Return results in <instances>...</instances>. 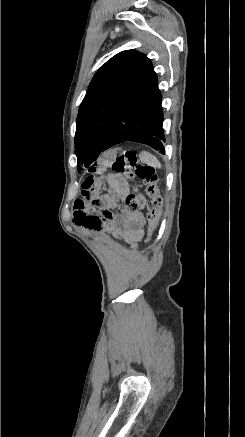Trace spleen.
Returning <instances> with one entry per match:
<instances>
[{
  "mask_svg": "<svg viewBox=\"0 0 245 437\" xmlns=\"http://www.w3.org/2000/svg\"><path fill=\"white\" fill-rule=\"evenodd\" d=\"M140 159L151 167H161V163L159 162V160L153 154L147 151H142L140 153Z\"/></svg>",
  "mask_w": 245,
  "mask_h": 437,
  "instance_id": "obj_1",
  "label": "spleen"
}]
</instances>
